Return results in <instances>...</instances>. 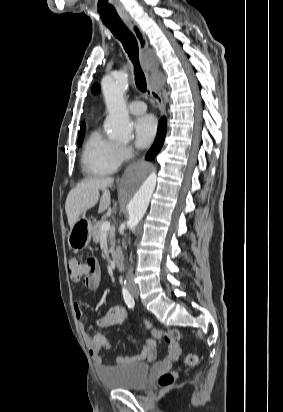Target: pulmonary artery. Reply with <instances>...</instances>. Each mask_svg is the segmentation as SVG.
Returning <instances> with one entry per match:
<instances>
[{
	"mask_svg": "<svg viewBox=\"0 0 283 412\" xmlns=\"http://www.w3.org/2000/svg\"><path fill=\"white\" fill-rule=\"evenodd\" d=\"M127 109L131 114H142L146 111V104L140 100L132 101L128 104Z\"/></svg>",
	"mask_w": 283,
	"mask_h": 412,
	"instance_id": "1",
	"label": "pulmonary artery"
}]
</instances>
